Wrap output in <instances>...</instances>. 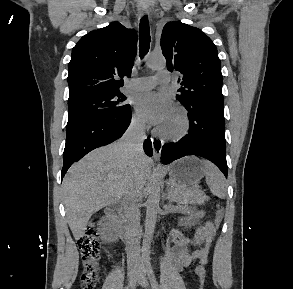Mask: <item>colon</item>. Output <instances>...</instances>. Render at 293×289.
I'll list each match as a JSON object with an SVG mask.
<instances>
[{
    "mask_svg": "<svg viewBox=\"0 0 293 289\" xmlns=\"http://www.w3.org/2000/svg\"><path fill=\"white\" fill-rule=\"evenodd\" d=\"M223 219V209L216 205L214 225L219 226ZM98 227L93 223L86 233L78 240L82 255L83 272L81 276V289H96L100 279V242L98 240ZM201 289L205 285V277L199 279Z\"/></svg>",
    "mask_w": 293,
    "mask_h": 289,
    "instance_id": "colon-1",
    "label": "colon"
}]
</instances>
